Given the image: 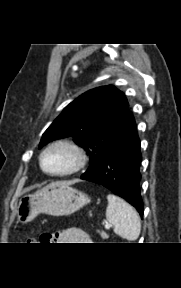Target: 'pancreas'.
I'll return each mask as SVG.
<instances>
[{
  "instance_id": "1",
  "label": "pancreas",
  "mask_w": 181,
  "mask_h": 288,
  "mask_svg": "<svg viewBox=\"0 0 181 288\" xmlns=\"http://www.w3.org/2000/svg\"><path fill=\"white\" fill-rule=\"evenodd\" d=\"M100 233V235H101V237L103 238V239H107L109 236H108V234L105 232V231H101V232H99Z\"/></svg>"
}]
</instances>
